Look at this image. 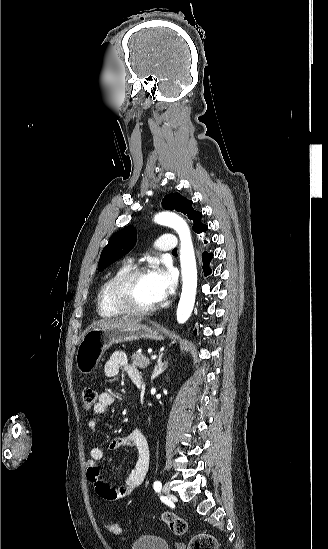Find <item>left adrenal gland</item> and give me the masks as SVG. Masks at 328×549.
Returning a JSON list of instances; mask_svg holds the SVG:
<instances>
[{
    "label": "left adrenal gland",
    "instance_id": "1",
    "mask_svg": "<svg viewBox=\"0 0 328 549\" xmlns=\"http://www.w3.org/2000/svg\"><path fill=\"white\" fill-rule=\"evenodd\" d=\"M164 353H161L158 361V365L155 367L154 375H160V373H163L165 369H167V363H162V357Z\"/></svg>",
    "mask_w": 328,
    "mask_h": 549
}]
</instances>
